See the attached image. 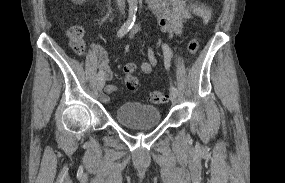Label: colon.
Returning a JSON list of instances; mask_svg holds the SVG:
<instances>
[{
    "label": "colon",
    "mask_w": 285,
    "mask_h": 183,
    "mask_svg": "<svg viewBox=\"0 0 285 183\" xmlns=\"http://www.w3.org/2000/svg\"><path fill=\"white\" fill-rule=\"evenodd\" d=\"M71 40V47L77 54H83L85 51V43L83 40L84 31L79 25L71 26L68 30ZM199 49V43L196 39H191L187 43V51L190 55H195ZM136 66L133 63H127L124 66L125 85L129 90H135L138 85L137 78L133 75ZM149 100L155 104H163L168 101V95L162 90L152 91L149 95Z\"/></svg>",
    "instance_id": "obj_1"
}]
</instances>
